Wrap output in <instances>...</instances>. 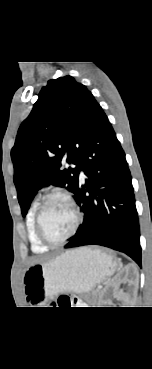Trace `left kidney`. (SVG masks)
<instances>
[{
    "instance_id": "5707ae66",
    "label": "left kidney",
    "mask_w": 152,
    "mask_h": 369,
    "mask_svg": "<svg viewBox=\"0 0 152 369\" xmlns=\"http://www.w3.org/2000/svg\"><path fill=\"white\" fill-rule=\"evenodd\" d=\"M124 281L129 282V286L136 290L139 283V273L137 268L132 265H128L123 268L110 282V284L99 295V307H108L111 305V296L117 299L126 298L123 292L120 290V284Z\"/></svg>"
}]
</instances>
